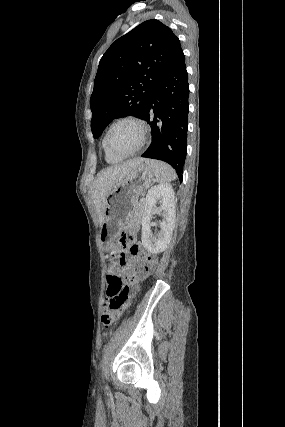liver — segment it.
I'll use <instances>...</instances> for the list:
<instances>
[{
  "label": "liver",
  "instance_id": "obj_1",
  "mask_svg": "<svg viewBox=\"0 0 285 427\" xmlns=\"http://www.w3.org/2000/svg\"><path fill=\"white\" fill-rule=\"evenodd\" d=\"M144 159L135 158L122 164L108 167L102 170L91 187V198L98 214L100 225L104 221V210L108 192L122 182L131 169L143 163Z\"/></svg>",
  "mask_w": 285,
  "mask_h": 427
}]
</instances>
